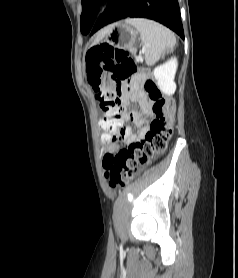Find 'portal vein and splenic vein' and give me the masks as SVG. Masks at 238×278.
I'll return each instance as SVG.
<instances>
[{"label": "portal vein and splenic vein", "instance_id": "1", "mask_svg": "<svg viewBox=\"0 0 238 278\" xmlns=\"http://www.w3.org/2000/svg\"><path fill=\"white\" fill-rule=\"evenodd\" d=\"M137 60H138V61H143L142 56H138V57H137Z\"/></svg>", "mask_w": 238, "mask_h": 278}]
</instances>
